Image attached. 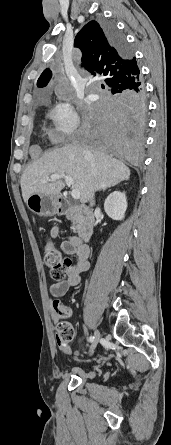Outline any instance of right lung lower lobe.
I'll list each match as a JSON object with an SVG mask.
<instances>
[{"instance_id": "98d812e1", "label": "right lung lower lobe", "mask_w": 171, "mask_h": 445, "mask_svg": "<svg viewBox=\"0 0 171 445\" xmlns=\"http://www.w3.org/2000/svg\"><path fill=\"white\" fill-rule=\"evenodd\" d=\"M101 26L111 45L123 56L130 49L110 22ZM146 127V98L142 80L128 88L111 91L84 112L83 133L96 150L138 164L142 159Z\"/></svg>"}]
</instances>
